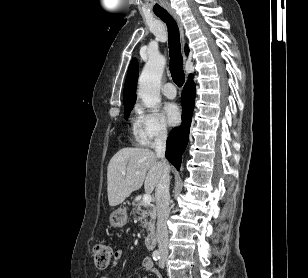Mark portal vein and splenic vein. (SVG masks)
Masks as SVG:
<instances>
[{
  "label": "portal vein and splenic vein",
  "instance_id": "obj_1",
  "mask_svg": "<svg viewBox=\"0 0 308 278\" xmlns=\"http://www.w3.org/2000/svg\"><path fill=\"white\" fill-rule=\"evenodd\" d=\"M123 175H125V172H122ZM152 201V197L150 193H146L143 195V202L144 203H150Z\"/></svg>",
  "mask_w": 308,
  "mask_h": 278
}]
</instances>
